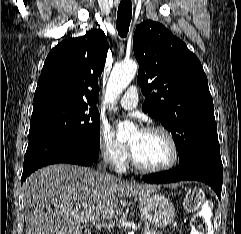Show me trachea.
<instances>
[{"instance_id": "3493384b", "label": "trachea", "mask_w": 241, "mask_h": 234, "mask_svg": "<svg viewBox=\"0 0 241 234\" xmlns=\"http://www.w3.org/2000/svg\"><path fill=\"white\" fill-rule=\"evenodd\" d=\"M132 18V4L130 0H121L117 12V30L118 34L125 38L129 31Z\"/></svg>"}]
</instances>
